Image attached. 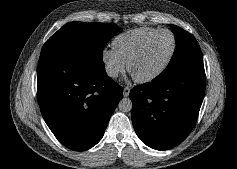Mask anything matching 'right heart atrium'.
I'll return each instance as SVG.
<instances>
[{"mask_svg":"<svg viewBox=\"0 0 237 169\" xmlns=\"http://www.w3.org/2000/svg\"><path fill=\"white\" fill-rule=\"evenodd\" d=\"M101 58L110 77L116 78L125 70V61L113 49H104Z\"/></svg>","mask_w":237,"mask_h":169,"instance_id":"d8ad5b80","label":"right heart atrium"}]
</instances>
